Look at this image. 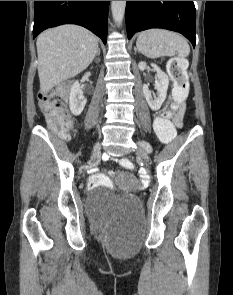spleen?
I'll return each instance as SVG.
<instances>
[{
  "label": "spleen",
  "instance_id": "3e777b00",
  "mask_svg": "<svg viewBox=\"0 0 233 295\" xmlns=\"http://www.w3.org/2000/svg\"><path fill=\"white\" fill-rule=\"evenodd\" d=\"M136 46L138 51L148 58L175 54L184 58L190 52V47L183 36L158 28L141 32L137 38Z\"/></svg>",
  "mask_w": 233,
  "mask_h": 295
}]
</instances>
